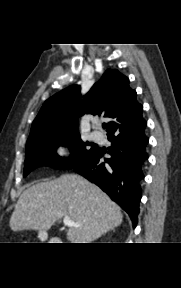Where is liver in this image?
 <instances>
[{"label":"liver","instance_id":"obj_1","mask_svg":"<svg viewBox=\"0 0 181 288\" xmlns=\"http://www.w3.org/2000/svg\"><path fill=\"white\" fill-rule=\"evenodd\" d=\"M62 217L80 224L67 231L72 243L95 241L123 221L120 207L99 187L79 175L65 174L28 187L19 197L9 224L13 231L34 229L46 235Z\"/></svg>","mask_w":181,"mask_h":288}]
</instances>
